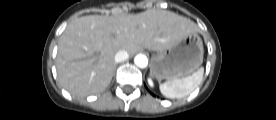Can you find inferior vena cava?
Segmentation results:
<instances>
[{"label": "inferior vena cava", "mask_w": 276, "mask_h": 120, "mask_svg": "<svg viewBox=\"0 0 276 120\" xmlns=\"http://www.w3.org/2000/svg\"><path fill=\"white\" fill-rule=\"evenodd\" d=\"M129 58V54L125 50H120L115 54L114 61L116 63L123 62Z\"/></svg>", "instance_id": "inferior-vena-cava-1"}]
</instances>
